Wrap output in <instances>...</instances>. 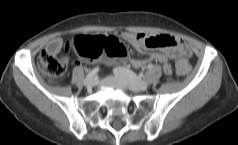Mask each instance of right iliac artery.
I'll use <instances>...</instances> for the list:
<instances>
[{
	"instance_id": "1",
	"label": "right iliac artery",
	"mask_w": 238,
	"mask_h": 145,
	"mask_svg": "<svg viewBox=\"0 0 238 145\" xmlns=\"http://www.w3.org/2000/svg\"><path fill=\"white\" fill-rule=\"evenodd\" d=\"M98 71H99V68L96 67V68H94L93 70L89 71V72L86 74V77H92V76L95 75Z\"/></svg>"
}]
</instances>
